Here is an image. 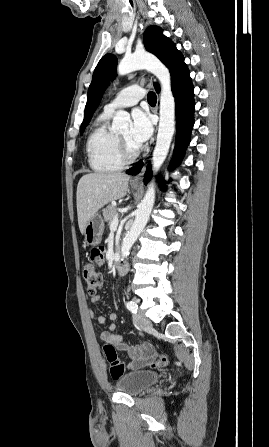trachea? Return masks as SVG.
I'll list each match as a JSON object with an SVG mask.
<instances>
[{"label":"trachea","mask_w":269,"mask_h":447,"mask_svg":"<svg viewBox=\"0 0 269 447\" xmlns=\"http://www.w3.org/2000/svg\"><path fill=\"white\" fill-rule=\"evenodd\" d=\"M147 100L150 105L156 104V95L154 92H149L147 95Z\"/></svg>","instance_id":"1"}]
</instances>
